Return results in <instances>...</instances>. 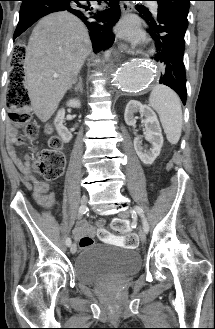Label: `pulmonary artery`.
<instances>
[{
    "label": "pulmonary artery",
    "mask_w": 215,
    "mask_h": 329,
    "mask_svg": "<svg viewBox=\"0 0 215 329\" xmlns=\"http://www.w3.org/2000/svg\"><path fill=\"white\" fill-rule=\"evenodd\" d=\"M150 7H151L153 13L156 14L157 13V10H158L157 3L156 2H151Z\"/></svg>",
    "instance_id": "obj_1"
}]
</instances>
